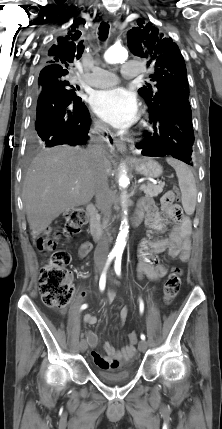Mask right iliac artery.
I'll use <instances>...</instances> for the list:
<instances>
[{
  "label": "right iliac artery",
  "instance_id": "obj_1",
  "mask_svg": "<svg viewBox=\"0 0 222 429\" xmlns=\"http://www.w3.org/2000/svg\"><path fill=\"white\" fill-rule=\"evenodd\" d=\"M114 257H115V255H113V254H110L108 256L105 268H104V270H103V272L101 274V277H100V280H99V288H100L101 291H103L104 288H105V285H106V271H107V268L110 265V263H111V261L113 260ZM86 308H87V304H83L81 306V310H84Z\"/></svg>",
  "mask_w": 222,
  "mask_h": 429
}]
</instances>
